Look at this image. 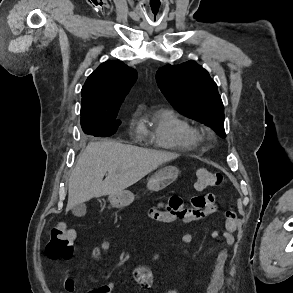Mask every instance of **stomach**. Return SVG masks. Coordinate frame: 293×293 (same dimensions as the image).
Returning <instances> with one entry per match:
<instances>
[{
  "mask_svg": "<svg viewBox=\"0 0 293 293\" xmlns=\"http://www.w3.org/2000/svg\"><path fill=\"white\" fill-rule=\"evenodd\" d=\"M178 176V169L168 166L157 171L147 183L148 190L158 192L170 185ZM134 194L130 191H122L109 196V201L114 208H124L134 201Z\"/></svg>",
  "mask_w": 293,
  "mask_h": 293,
  "instance_id": "0dacf381",
  "label": "stomach"
}]
</instances>
